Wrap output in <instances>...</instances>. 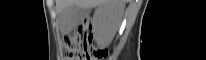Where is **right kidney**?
Wrapping results in <instances>:
<instances>
[{
	"label": "right kidney",
	"instance_id": "1",
	"mask_svg": "<svg viewBox=\"0 0 206 60\" xmlns=\"http://www.w3.org/2000/svg\"><path fill=\"white\" fill-rule=\"evenodd\" d=\"M123 14V4L112 1L101 5L94 14L95 39L97 43L108 44Z\"/></svg>",
	"mask_w": 206,
	"mask_h": 60
}]
</instances>
